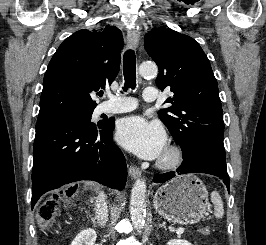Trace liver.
Here are the masks:
<instances>
[{
	"mask_svg": "<svg viewBox=\"0 0 266 245\" xmlns=\"http://www.w3.org/2000/svg\"><path fill=\"white\" fill-rule=\"evenodd\" d=\"M86 185H91V187H95L93 191H99V187H97V183H93V181H90V183H86Z\"/></svg>",
	"mask_w": 266,
	"mask_h": 245,
	"instance_id": "6515ba94",
	"label": "liver"
}]
</instances>
